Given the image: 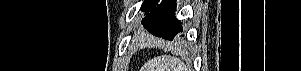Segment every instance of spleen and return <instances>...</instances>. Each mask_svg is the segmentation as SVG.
I'll list each match as a JSON object with an SVG mask.
<instances>
[{
    "label": "spleen",
    "mask_w": 301,
    "mask_h": 71,
    "mask_svg": "<svg viewBox=\"0 0 301 71\" xmlns=\"http://www.w3.org/2000/svg\"><path fill=\"white\" fill-rule=\"evenodd\" d=\"M142 71H187L185 64L170 55L158 56L150 60Z\"/></svg>",
    "instance_id": "obj_1"
}]
</instances>
